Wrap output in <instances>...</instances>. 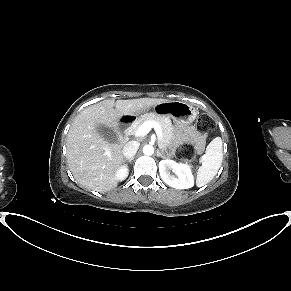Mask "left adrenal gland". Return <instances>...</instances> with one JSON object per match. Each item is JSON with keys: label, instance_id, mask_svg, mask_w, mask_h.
I'll return each mask as SVG.
<instances>
[{"label": "left adrenal gland", "instance_id": "1", "mask_svg": "<svg viewBox=\"0 0 291 291\" xmlns=\"http://www.w3.org/2000/svg\"><path fill=\"white\" fill-rule=\"evenodd\" d=\"M157 156L158 157H162V158H165V156L163 155L162 151L161 150H157Z\"/></svg>", "mask_w": 291, "mask_h": 291}]
</instances>
